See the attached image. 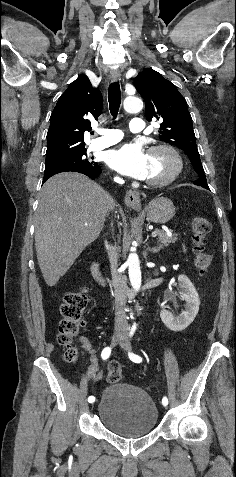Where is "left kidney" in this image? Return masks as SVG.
Returning <instances> with one entry per match:
<instances>
[{"label":"left kidney","mask_w":236,"mask_h":477,"mask_svg":"<svg viewBox=\"0 0 236 477\" xmlns=\"http://www.w3.org/2000/svg\"><path fill=\"white\" fill-rule=\"evenodd\" d=\"M178 282L180 295L186 301L185 310L179 315H175L166 309H162L160 312L162 322L175 332L186 329L194 321L200 305L199 295L189 278L185 275H179Z\"/></svg>","instance_id":"left-kidney-1"}]
</instances>
